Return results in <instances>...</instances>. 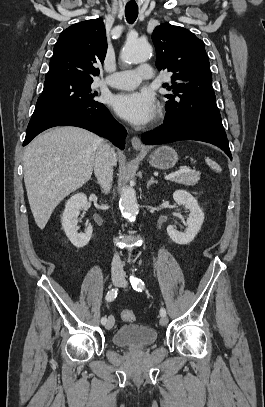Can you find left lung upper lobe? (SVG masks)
Here are the masks:
<instances>
[{
    "mask_svg": "<svg viewBox=\"0 0 265 407\" xmlns=\"http://www.w3.org/2000/svg\"><path fill=\"white\" fill-rule=\"evenodd\" d=\"M156 66L172 72L164 87V123L193 122L225 133L212 87V74L204 42L188 29L162 24L155 28Z\"/></svg>",
    "mask_w": 265,
    "mask_h": 407,
    "instance_id": "1",
    "label": "left lung upper lobe"
}]
</instances>
